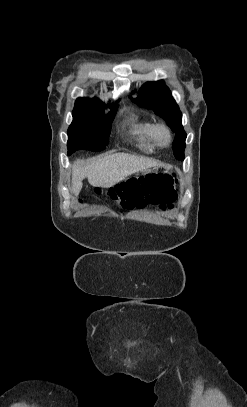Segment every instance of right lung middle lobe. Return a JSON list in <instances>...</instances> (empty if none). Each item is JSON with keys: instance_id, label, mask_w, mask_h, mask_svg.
<instances>
[{"instance_id": "dd1d6c3e", "label": "right lung middle lobe", "mask_w": 247, "mask_h": 407, "mask_svg": "<svg viewBox=\"0 0 247 407\" xmlns=\"http://www.w3.org/2000/svg\"><path fill=\"white\" fill-rule=\"evenodd\" d=\"M110 106L112 109L107 115H104L103 104L74 107L73 122L68 129V155L82 149L95 152L105 149L118 104Z\"/></svg>"}]
</instances>
